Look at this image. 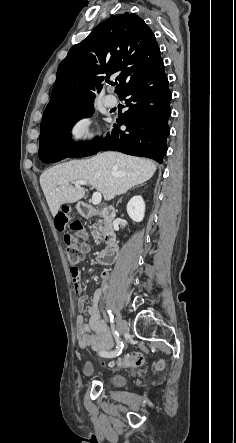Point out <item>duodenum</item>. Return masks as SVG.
I'll return each mask as SVG.
<instances>
[{"label": "duodenum", "instance_id": "duodenum-1", "mask_svg": "<svg viewBox=\"0 0 236 443\" xmlns=\"http://www.w3.org/2000/svg\"><path fill=\"white\" fill-rule=\"evenodd\" d=\"M79 212L83 218L101 217L106 221L114 219L118 214V210L114 207L108 206L98 209L90 202L81 204ZM103 234L107 242V247L97 254V259L102 265H112L115 262L118 252L117 233L113 227L107 225L103 230Z\"/></svg>", "mask_w": 236, "mask_h": 443}]
</instances>
